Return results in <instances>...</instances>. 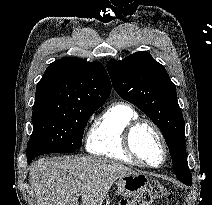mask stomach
Returning a JSON list of instances; mask_svg holds the SVG:
<instances>
[{"label":"stomach","mask_w":212,"mask_h":205,"mask_svg":"<svg viewBox=\"0 0 212 205\" xmlns=\"http://www.w3.org/2000/svg\"><path fill=\"white\" fill-rule=\"evenodd\" d=\"M148 181V177L142 173H131L121 176L116 183L118 189L115 195L126 198L133 197L147 186ZM109 202V199H107L106 205H109Z\"/></svg>","instance_id":"0dacf381"}]
</instances>
